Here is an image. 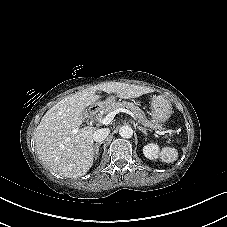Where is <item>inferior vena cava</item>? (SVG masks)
<instances>
[{"label": "inferior vena cava", "instance_id": "1", "mask_svg": "<svg viewBox=\"0 0 227 227\" xmlns=\"http://www.w3.org/2000/svg\"><path fill=\"white\" fill-rule=\"evenodd\" d=\"M109 133H110V130L108 128L97 129L93 133V140L96 142H102L106 139Z\"/></svg>", "mask_w": 227, "mask_h": 227}]
</instances>
